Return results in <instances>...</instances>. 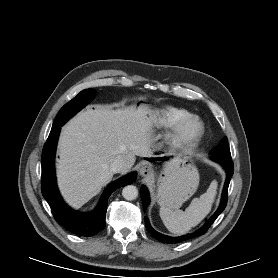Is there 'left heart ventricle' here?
Here are the masks:
<instances>
[{"label": "left heart ventricle", "instance_id": "obj_1", "mask_svg": "<svg viewBox=\"0 0 278 278\" xmlns=\"http://www.w3.org/2000/svg\"><path fill=\"white\" fill-rule=\"evenodd\" d=\"M194 131H195V126L191 125L190 127H188L186 133L187 135H191Z\"/></svg>", "mask_w": 278, "mask_h": 278}]
</instances>
